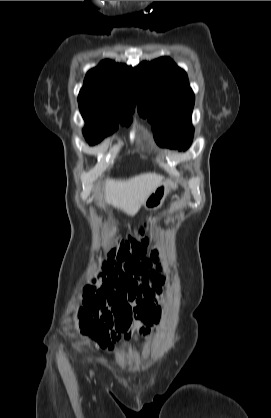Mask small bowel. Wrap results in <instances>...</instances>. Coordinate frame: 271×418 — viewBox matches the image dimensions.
Returning <instances> with one entry per match:
<instances>
[{"instance_id": "obj_1", "label": "small bowel", "mask_w": 271, "mask_h": 418, "mask_svg": "<svg viewBox=\"0 0 271 418\" xmlns=\"http://www.w3.org/2000/svg\"><path fill=\"white\" fill-rule=\"evenodd\" d=\"M161 259L162 252L152 249L149 256L138 260L104 263L101 285L96 291L85 293L84 311L99 319L107 329L119 333L128 331L127 338L137 331L149 334L150 327L160 322L157 300L165 282L162 267H157ZM106 345L109 349L113 347L109 342Z\"/></svg>"}]
</instances>
